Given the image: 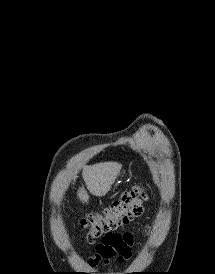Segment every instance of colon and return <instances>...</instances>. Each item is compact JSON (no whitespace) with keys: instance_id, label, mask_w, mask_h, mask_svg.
I'll return each mask as SVG.
<instances>
[{"instance_id":"obj_1","label":"colon","mask_w":215,"mask_h":274,"mask_svg":"<svg viewBox=\"0 0 215 274\" xmlns=\"http://www.w3.org/2000/svg\"><path fill=\"white\" fill-rule=\"evenodd\" d=\"M145 198L146 188L137 184L101 212L90 214L83 219L82 226L87 231L88 241L93 242L139 217Z\"/></svg>"}]
</instances>
